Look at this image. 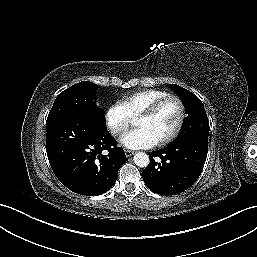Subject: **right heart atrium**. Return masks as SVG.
I'll list each match as a JSON object with an SVG mask.
<instances>
[{
    "label": "right heart atrium",
    "mask_w": 257,
    "mask_h": 257,
    "mask_svg": "<svg viewBox=\"0 0 257 257\" xmlns=\"http://www.w3.org/2000/svg\"><path fill=\"white\" fill-rule=\"evenodd\" d=\"M106 125L113 136H121L129 129L133 118L125 105L116 101L105 112Z\"/></svg>",
    "instance_id": "1"
}]
</instances>
